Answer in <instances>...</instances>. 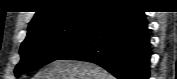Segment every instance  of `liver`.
Segmentation results:
<instances>
[{"mask_svg": "<svg viewBox=\"0 0 177 79\" xmlns=\"http://www.w3.org/2000/svg\"><path fill=\"white\" fill-rule=\"evenodd\" d=\"M34 79H113V76L90 62L55 60L42 68Z\"/></svg>", "mask_w": 177, "mask_h": 79, "instance_id": "1", "label": "liver"}]
</instances>
